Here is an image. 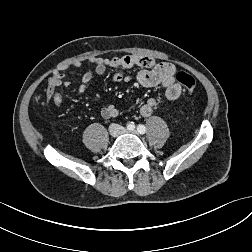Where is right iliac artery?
Returning <instances> with one entry per match:
<instances>
[{"label": "right iliac artery", "instance_id": "obj_1", "mask_svg": "<svg viewBox=\"0 0 252 252\" xmlns=\"http://www.w3.org/2000/svg\"><path fill=\"white\" fill-rule=\"evenodd\" d=\"M134 128H135V125H134L133 122L127 124V129H128V130H133Z\"/></svg>", "mask_w": 252, "mask_h": 252}]
</instances>
